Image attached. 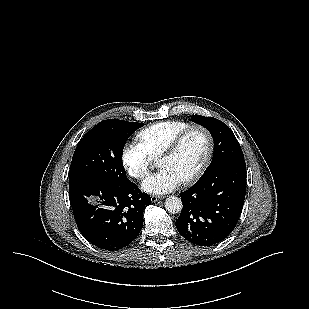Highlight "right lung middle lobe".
Masks as SVG:
<instances>
[{"instance_id": "dd1d6c3e", "label": "right lung middle lobe", "mask_w": 309, "mask_h": 309, "mask_svg": "<svg viewBox=\"0 0 309 309\" xmlns=\"http://www.w3.org/2000/svg\"><path fill=\"white\" fill-rule=\"evenodd\" d=\"M144 124L117 119L101 121L78 143L70 166L69 183L100 177L118 184L129 181L122 162L124 145Z\"/></svg>"}]
</instances>
